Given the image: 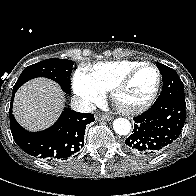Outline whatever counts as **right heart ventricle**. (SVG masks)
Listing matches in <instances>:
<instances>
[{
	"instance_id": "right-heart-ventricle-1",
	"label": "right heart ventricle",
	"mask_w": 196,
	"mask_h": 196,
	"mask_svg": "<svg viewBox=\"0 0 196 196\" xmlns=\"http://www.w3.org/2000/svg\"><path fill=\"white\" fill-rule=\"evenodd\" d=\"M142 63L129 60L101 62L89 69V75L99 88L109 92L127 72Z\"/></svg>"
}]
</instances>
